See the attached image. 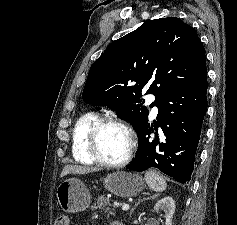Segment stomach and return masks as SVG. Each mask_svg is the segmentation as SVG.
I'll list each match as a JSON object with an SVG mask.
<instances>
[{
    "instance_id": "obj_1",
    "label": "stomach",
    "mask_w": 237,
    "mask_h": 225,
    "mask_svg": "<svg viewBox=\"0 0 237 225\" xmlns=\"http://www.w3.org/2000/svg\"><path fill=\"white\" fill-rule=\"evenodd\" d=\"M104 187L119 197H133L143 190L144 181L137 174L117 171L104 178ZM56 196L62 210L69 213L85 210L91 201L88 188L77 178L62 181L57 187Z\"/></svg>"
}]
</instances>
